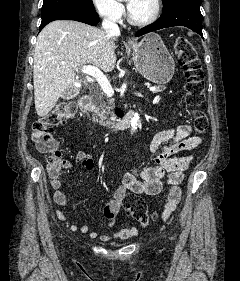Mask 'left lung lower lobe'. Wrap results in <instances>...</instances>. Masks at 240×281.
<instances>
[{"label": "left lung lower lobe", "mask_w": 240, "mask_h": 281, "mask_svg": "<svg viewBox=\"0 0 240 281\" xmlns=\"http://www.w3.org/2000/svg\"><path fill=\"white\" fill-rule=\"evenodd\" d=\"M201 0H177L163 10V15L153 24L140 29L136 37L146 33L173 26H185L202 34V14L200 12Z\"/></svg>", "instance_id": "0a47b994"}]
</instances>
